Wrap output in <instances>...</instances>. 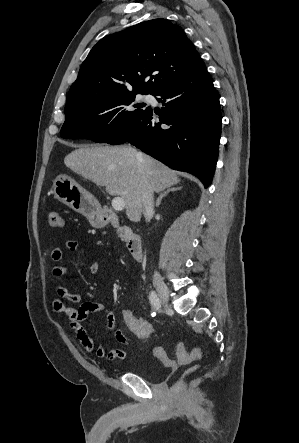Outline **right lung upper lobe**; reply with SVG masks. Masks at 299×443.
I'll return each instance as SVG.
<instances>
[{"mask_svg": "<svg viewBox=\"0 0 299 443\" xmlns=\"http://www.w3.org/2000/svg\"><path fill=\"white\" fill-rule=\"evenodd\" d=\"M205 68L183 30L153 19L101 39L81 65L66 106L126 92L153 94ZM150 76L147 82L145 78Z\"/></svg>", "mask_w": 299, "mask_h": 443, "instance_id": "obj_1", "label": "right lung upper lobe"}]
</instances>
